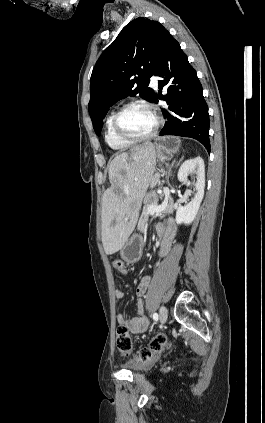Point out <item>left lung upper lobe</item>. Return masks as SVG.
<instances>
[{
	"label": "left lung upper lobe",
	"instance_id": "obj_1",
	"mask_svg": "<svg viewBox=\"0 0 265 423\" xmlns=\"http://www.w3.org/2000/svg\"><path fill=\"white\" fill-rule=\"evenodd\" d=\"M170 36L159 22L139 17L105 49L90 82L88 108L97 135L109 108L117 101L140 94L153 102L156 93L147 86L159 69Z\"/></svg>",
	"mask_w": 265,
	"mask_h": 423
}]
</instances>
